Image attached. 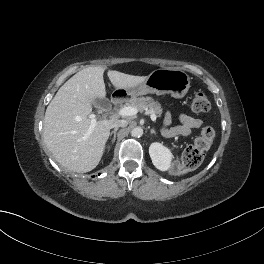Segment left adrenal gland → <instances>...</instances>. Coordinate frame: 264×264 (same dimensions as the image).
<instances>
[{"label":"left adrenal gland","instance_id":"a2214340","mask_svg":"<svg viewBox=\"0 0 264 264\" xmlns=\"http://www.w3.org/2000/svg\"><path fill=\"white\" fill-rule=\"evenodd\" d=\"M150 133H151V134H155L154 129H151V130H150Z\"/></svg>","mask_w":264,"mask_h":264}]
</instances>
